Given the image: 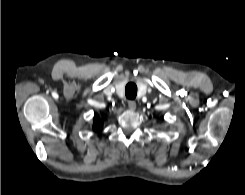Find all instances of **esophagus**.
I'll list each match as a JSON object with an SVG mask.
<instances>
[{
	"instance_id": "34e87169",
	"label": "esophagus",
	"mask_w": 245,
	"mask_h": 195,
	"mask_svg": "<svg viewBox=\"0 0 245 195\" xmlns=\"http://www.w3.org/2000/svg\"><path fill=\"white\" fill-rule=\"evenodd\" d=\"M128 108L130 110H134L136 108V102L134 100H129L128 101Z\"/></svg>"
}]
</instances>
